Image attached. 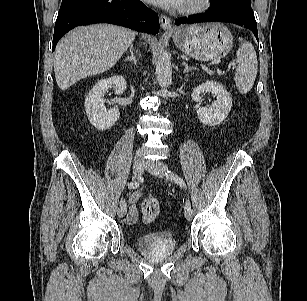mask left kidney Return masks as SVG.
Instances as JSON below:
<instances>
[{
    "instance_id": "1",
    "label": "left kidney",
    "mask_w": 307,
    "mask_h": 301,
    "mask_svg": "<svg viewBox=\"0 0 307 301\" xmlns=\"http://www.w3.org/2000/svg\"><path fill=\"white\" fill-rule=\"evenodd\" d=\"M211 92L217 98L210 107L197 105L198 119L206 125H219L228 116L232 107V98L227 90L219 82L208 80L193 89L192 100L200 103V94Z\"/></svg>"
}]
</instances>
